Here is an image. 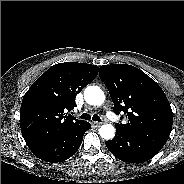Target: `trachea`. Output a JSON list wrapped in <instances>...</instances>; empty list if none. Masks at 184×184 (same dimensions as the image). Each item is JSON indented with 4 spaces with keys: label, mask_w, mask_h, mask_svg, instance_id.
Wrapping results in <instances>:
<instances>
[{
    "label": "trachea",
    "mask_w": 184,
    "mask_h": 184,
    "mask_svg": "<svg viewBox=\"0 0 184 184\" xmlns=\"http://www.w3.org/2000/svg\"><path fill=\"white\" fill-rule=\"evenodd\" d=\"M81 119H84V120H90L91 119V116L87 113H83L81 116H80ZM92 120L94 121H98V122H101V119L98 115H93L92 117Z\"/></svg>",
    "instance_id": "trachea-1"
}]
</instances>
